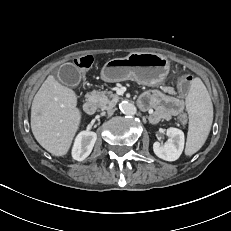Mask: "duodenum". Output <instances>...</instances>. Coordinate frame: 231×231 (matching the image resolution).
Segmentation results:
<instances>
[{
	"label": "duodenum",
	"mask_w": 231,
	"mask_h": 231,
	"mask_svg": "<svg viewBox=\"0 0 231 231\" xmlns=\"http://www.w3.org/2000/svg\"><path fill=\"white\" fill-rule=\"evenodd\" d=\"M83 110L85 113L92 115L97 110V104L94 98L88 97L86 98L84 104H83Z\"/></svg>",
	"instance_id": "obj_1"
}]
</instances>
